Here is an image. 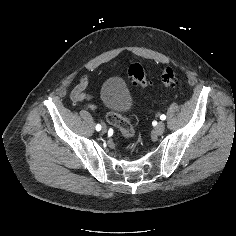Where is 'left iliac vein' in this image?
<instances>
[{"label": "left iliac vein", "instance_id": "obj_1", "mask_svg": "<svg viewBox=\"0 0 236 236\" xmlns=\"http://www.w3.org/2000/svg\"><path fill=\"white\" fill-rule=\"evenodd\" d=\"M165 131V123L164 122H159L156 127L154 128V132L158 135L163 134Z\"/></svg>", "mask_w": 236, "mask_h": 236}]
</instances>
